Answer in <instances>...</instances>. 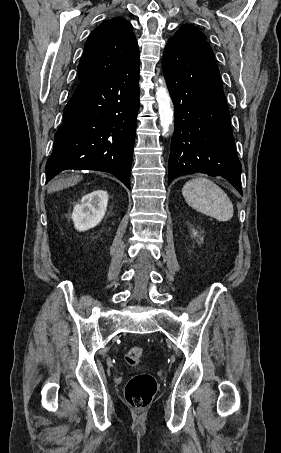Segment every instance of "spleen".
Segmentation results:
<instances>
[{
    "mask_svg": "<svg viewBox=\"0 0 281 453\" xmlns=\"http://www.w3.org/2000/svg\"><path fill=\"white\" fill-rule=\"evenodd\" d=\"M182 194L189 206L213 216L217 220H230L233 216V204L226 192L209 178H192L185 182Z\"/></svg>",
    "mask_w": 281,
    "mask_h": 453,
    "instance_id": "obj_1",
    "label": "spleen"
}]
</instances>
